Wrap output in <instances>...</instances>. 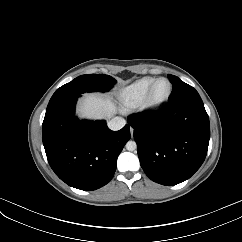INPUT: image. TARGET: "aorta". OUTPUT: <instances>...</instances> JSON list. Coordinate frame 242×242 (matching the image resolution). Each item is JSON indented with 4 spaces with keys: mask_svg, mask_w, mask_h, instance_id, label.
Segmentation results:
<instances>
[{
    "mask_svg": "<svg viewBox=\"0 0 242 242\" xmlns=\"http://www.w3.org/2000/svg\"><path fill=\"white\" fill-rule=\"evenodd\" d=\"M137 148L136 142L135 141H128L126 143V149L128 151H134Z\"/></svg>",
    "mask_w": 242,
    "mask_h": 242,
    "instance_id": "1",
    "label": "aorta"
}]
</instances>
